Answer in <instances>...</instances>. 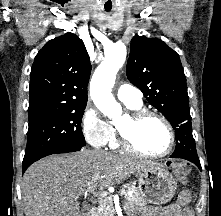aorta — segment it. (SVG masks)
<instances>
[{
	"label": "aorta",
	"mask_w": 221,
	"mask_h": 216,
	"mask_svg": "<svg viewBox=\"0 0 221 216\" xmlns=\"http://www.w3.org/2000/svg\"><path fill=\"white\" fill-rule=\"evenodd\" d=\"M126 47L115 43L105 53V58L95 70L90 82V95L96 107L104 116L114 119L122 114L121 105L111 93L116 74L126 59Z\"/></svg>",
	"instance_id": "1"
}]
</instances>
